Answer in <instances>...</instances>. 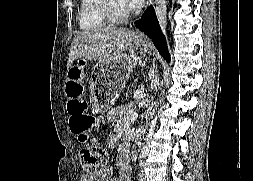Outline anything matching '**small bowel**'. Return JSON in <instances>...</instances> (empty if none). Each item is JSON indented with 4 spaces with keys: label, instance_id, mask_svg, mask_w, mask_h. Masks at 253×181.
Segmentation results:
<instances>
[{
    "label": "small bowel",
    "instance_id": "obj_1",
    "mask_svg": "<svg viewBox=\"0 0 253 181\" xmlns=\"http://www.w3.org/2000/svg\"><path fill=\"white\" fill-rule=\"evenodd\" d=\"M122 116V109H114L110 112L109 118L111 120H118ZM116 144V138L114 135H109L106 138V145L108 147H114ZM111 172H115V176L111 181H130V166L128 158L125 154H122L118 163L117 168L114 171L113 166L106 165L100 172L95 175L83 174L80 177V181H103L107 179Z\"/></svg>",
    "mask_w": 253,
    "mask_h": 181
}]
</instances>
